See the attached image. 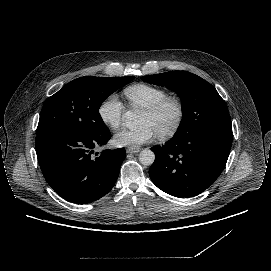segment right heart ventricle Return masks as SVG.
<instances>
[{
  "mask_svg": "<svg viewBox=\"0 0 271 271\" xmlns=\"http://www.w3.org/2000/svg\"><path fill=\"white\" fill-rule=\"evenodd\" d=\"M123 93L131 106L137 109H145L168 96L164 88L147 83L130 85L123 90Z\"/></svg>",
  "mask_w": 271,
  "mask_h": 271,
  "instance_id": "1",
  "label": "right heart ventricle"
}]
</instances>
